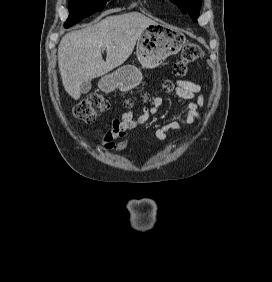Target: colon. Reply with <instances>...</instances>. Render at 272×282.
Segmentation results:
<instances>
[{
	"mask_svg": "<svg viewBox=\"0 0 272 282\" xmlns=\"http://www.w3.org/2000/svg\"><path fill=\"white\" fill-rule=\"evenodd\" d=\"M202 57L203 50L198 44L188 40L184 41L180 58L173 67V78L164 80L160 85V89L165 92L174 91L180 80L186 76L189 64L199 61ZM151 99V95L144 97L145 101H151ZM108 108V100L99 93H93L75 106L74 115L78 119L89 123Z\"/></svg>",
	"mask_w": 272,
	"mask_h": 282,
	"instance_id": "obj_1",
	"label": "colon"
}]
</instances>
